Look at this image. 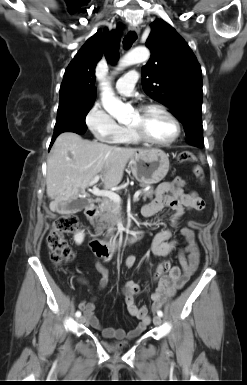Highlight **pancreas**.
<instances>
[{
  "mask_svg": "<svg viewBox=\"0 0 247 385\" xmlns=\"http://www.w3.org/2000/svg\"><path fill=\"white\" fill-rule=\"evenodd\" d=\"M154 194L153 188L148 190H143L141 195L145 201L147 198L152 199ZM121 207L119 204L115 203L110 199H104L100 205L99 211V222L102 225V228H108V232L112 233L116 230L115 226L118 219L121 217Z\"/></svg>",
  "mask_w": 247,
  "mask_h": 385,
  "instance_id": "1",
  "label": "pancreas"
}]
</instances>
